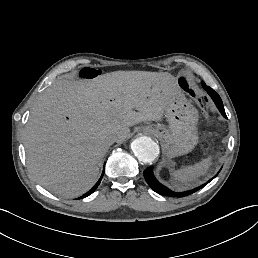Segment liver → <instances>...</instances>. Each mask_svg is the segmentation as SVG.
<instances>
[{
	"mask_svg": "<svg viewBox=\"0 0 258 258\" xmlns=\"http://www.w3.org/2000/svg\"><path fill=\"white\" fill-rule=\"evenodd\" d=\"M175 80L168 72L115 71L56 81L35 102L24 130L30 173L54 194L82 195L109 149L105 137L114 133L123 142L130 126L161 120Z\"/></svg>",
	"mask_w": 258,
	"mask_h": 258,
	"instance_id": "obj_1",
	"label": "liver"
}]
</instances>
